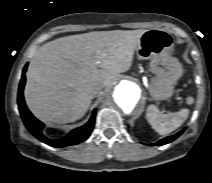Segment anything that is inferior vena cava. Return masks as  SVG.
<instances>
[{
	"label": "inferior vena cava",
	"instance_id": "inferior-vena-cava-1",
	"mask_svg": "<svg viewBox=\"0 0 212 183\" xmlns=\"http://www.w3.org/2000/svg\"><path fill=\"white\" fill-rule=\"evenodd\" d=\"M103 88H104V85H103V84L97 85V86L94 88V93H95V94H98Z\"/></svg>",
	"mask_w": 212,
	"mask_h": 183
}]
</instances>
